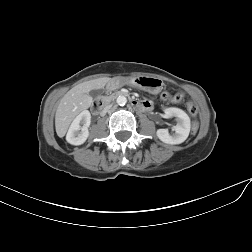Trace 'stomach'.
I'll return each instance as SVG.
<instances>
[{"label":"stomach","mask_w":252,"mask_h":252,"mask_svg":"<svg viewBox=\"0 0 252 252\" xmlns=\"http://www.w3.org/2000/svg\"><path fill=\"white\" fill-rule=\"evenodd\" d=\"M114 82L129 83L151 94L159 93L162 88V81L159 78L146 75L131 77L129 79L116 78Z\"/></svg>","instance_id":"0dacf381"}]
</instances>
